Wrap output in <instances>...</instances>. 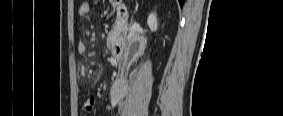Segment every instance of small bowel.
Listing matches in <instances>:
<instances>
[{"label":"small bowel","mask_w":283,"mask_h":116,"mask_svg":"<svg viewBox=\"0 0 283 116\" xmlns=\"http://www.w3.org/2000/svg\"><path fill=\"white\" fill-rule=\"evenodd\" d=\"M97 10L95 8V6L89 2V1H83L79 7V13L82 14V15H86V14H90V13H95ZM77 51L80 53V54H86L87 53V46L85 43L83 42H80L78 45H77ZM115 104H116V99H113L112 100V106H110L109 108L110 109H113L115 107ZM95 106V98L92 96V97H89L85 100L84 102V109L88 112L92 111L93 108Z\"/></svg>","instance_id":"small-bowel-1"}]
</instances>
